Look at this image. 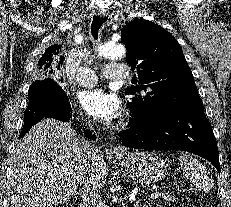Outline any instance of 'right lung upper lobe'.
I'll use <instances>...</instances> for the list:
<instances>
[{"label":"right lung upper lobe","mask_w":231,"mask_h":207,"mask_svg":"<svg viewBox=\"0 0 231 207\" xmlns=\"http://www.w3.org/2000/svg\"><path fill=\"white\" fill-rule=\"evenodd\" d=\"M61 51L60 45H52L45 50L41 58L38 61V74H43L44 71L55 63H60L64 60V57H58Z\"/></svg>","instance_id":"obj_1"}]
</instances>
